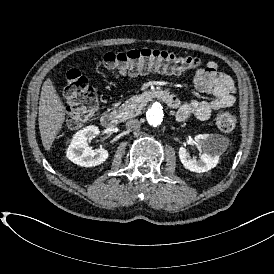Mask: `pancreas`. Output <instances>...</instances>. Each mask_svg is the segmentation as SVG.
Wrapping results in <instances>:
<instances>
[{
  "label": "pancreas",
  "mask_w": 274,
  "mask_h": 274,
  "mask_svg": "<svg viewBox=\"0 0 274 274\" xmlns=\"http://www.w3.org/2000/svg\"><path fill=\"white\" fill-rule=\"evenodd\" d=\"M137 100L131 98L129 101L123 103L119 109H114L119 117L120 121H126L133 116H137L140 113V108Z\"/></svg>",
  "instance_id": "1"
}]
</instances>
